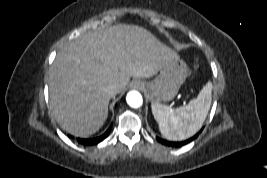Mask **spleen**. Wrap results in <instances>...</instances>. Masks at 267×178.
<instances>
[{"mask_svg": "<svg viewBox=\"0 0 267 178\" xmlns=\"http://www.w3.org/2000/svg\"><path fill=\"white\" fill-rule=\"evenodd\" d=\"M212 100V83L208 82L186 106L173 109L152 103L151 109L160 133L168 140L179 141L196 134L202 127Z\"/></svg>", "mask_w": 267, "mask_h": 178, "instance_id": "3e777b00", "label": "spleen"}]
</instances>
